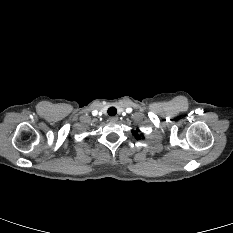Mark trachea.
<instances>
[{"mask_svg": "<svg viewBox=\"0 0 233 233\" xmlns=\"http://www.w3.org/2000/svg\"><path fill=\"white\" fill-rule=\"evenodd\" d=\"M116 113H117V110H116L115 107H110V108L108 109V114H109L110 116H115Z\"/></svg>", "mask_w": 233, "mask_h": 233, "instance_id": "3493384b", "label": "trachea"}]
</instances>
